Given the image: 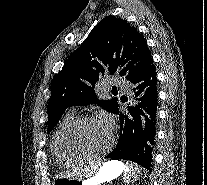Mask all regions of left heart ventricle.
<instances>
[{
    "instance_id": "obj_1",
    "label": "left heart ventricle",
    "mask_w": 207,
    "mask_h": 185,
    "mask_svg": "<svg viewBox=\"0 0 207 185\" xmlns=\"http://www.w3.org/2000/svg\"><path fill=\"white\" fill-rule=\"evenodd\" d=\"M78 142L85 148L99 152L111 143V128L99 119L84 123L77 133Z\"/></svg>"
}]
</instances>
